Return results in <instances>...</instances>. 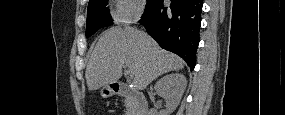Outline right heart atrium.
Returning <instances> with one entry per match:
<instances>
[{
    "label": "right heart atrium",
    "instance_id": "1",
    "mask_svg": "<svg viewBox=\"0 0 285 115\" xmlns=\"http://www.w3.org/2000/svg\"><path fill=\"white\" fill-rule=\"evenodd\" d=\"M144 9V1L119 0L116 2L115 19L123 24L135 22Z\"/></svg>",
    "mask_w": 285,
    "mask_h": 115
}]
</instances>
